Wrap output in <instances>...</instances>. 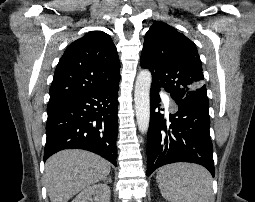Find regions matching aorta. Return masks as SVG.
<instances>
[{"mask_svg": "<svg viewBox=\"0 0 255 202\" xmlns=\"http://www.w3.org/2000/svg\"><path fill=\"white\" fill-rule=\"evenodd\" d=\"M151 82V72L147 69L140 71L136 79L134 101L138 129L142 134L147 133L150 123Z\"/></svg>", "mask_w": 255, "mask_h": 202, "instance_id": "762f6f07", "label": "aorta"}]
</instances>
